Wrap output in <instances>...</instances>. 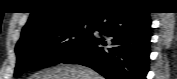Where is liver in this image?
Returning <instances> with one entry per match:
<instances>
[{"label": "liver", "mask_w": 177, "mask_h": 79, "mask_svg": "<svg viewBox=\"0 0 177 79\" xmlns=\"http://www.w3.org/2000/svg\"><path fill=\"white\" fill-rule=\"evenodd\" d=\"M29 79H103V77L85 66L61 64L41 70Z\"/></svg>", "instance_id": "1"}]
</instances>
